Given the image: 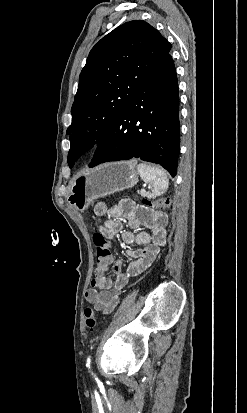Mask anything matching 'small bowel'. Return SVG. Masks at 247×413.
<instances>
[{"mask_svg":"<svg viewBox=\"0 0 247 413\" xmlns=\"http://www.w3.org/2000/svg\"><path fill=\"white\" fill-rule=\"evenodd\" d=\"M108 213L112 218L104 223L101 233L105 237H112L120 232L125 245H143L144 249L129 250L127 256L130 259L124 271V262L116 260L112 265L115 280L107 277H94L91 287L85 293V299L93 305L96 311L103 314L111 313L120 303L121 294L129 283L130 276H137L145 272L159 253L161 246L165 244L167 217L154 210L136 206L124 201L120 204L108 207L105 202H98L94 206V214L103 216ZM123 218L126 228L118 219ZM141 227L151 229L152 233L140 231L134 234V230ZM108 272V271H107Z\"/></svg>","mask_w":247,"mask_h":413,"instance_id":"1","label":"small bowel"}]
</instances>
